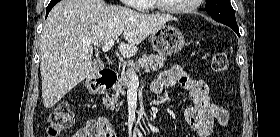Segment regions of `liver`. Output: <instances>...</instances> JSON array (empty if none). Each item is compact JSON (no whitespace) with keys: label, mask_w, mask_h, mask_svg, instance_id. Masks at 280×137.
<instances>
[{"label":"liver","mask_w":280,"mask_h":137,"mask_svg":"<svg viewBox=\"0 0 280 137\" xmlns=\"http://www.w3.org/2000/svg\"><path fill=\"white\" fill-rule=\"evenodd\" d=\"M173 17L144 14L103 0H62L43 26L40 41L42 98L53 107L72 88L94 73L95 43L105 44L123 35L119 51L124 57L138 52V45Z\"/></svg>","instance_id":"6515ba94"}]
</instances>
